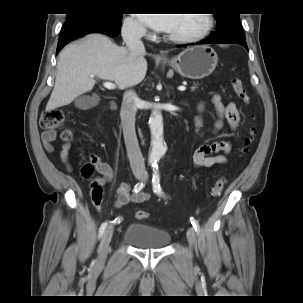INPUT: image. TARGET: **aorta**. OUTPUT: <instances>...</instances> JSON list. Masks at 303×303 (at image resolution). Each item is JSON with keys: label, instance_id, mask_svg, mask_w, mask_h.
<instances>
[{"label": "aorta", "instance_id": "aorta-1", "mask_svg": "<svg viewBox=\"0 0 303 303\" xmlns=\"http://www.w3.org/2000/svg\"><path fill=\"white\" fill-rule=\"evenodd\" d=\"M149 125L151 130L149 163L156 164L167 151V146L163 139V118L159 110H153Z\"/></svg>", "mask_w": 303, "mask_h": 303}]
</instances>
